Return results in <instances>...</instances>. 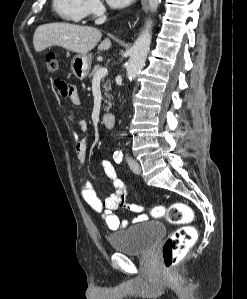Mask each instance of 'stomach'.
<instances>
[{
  "mask_svg": "<svg viewBox=\"0 0 247 299\" xmlns=\"http://www.w3.org/2000/svg\"><path fill=\"white\" fill-rule=\"evenodd\" d=\"M91 55L78 54L71 61V71L80 80L86 78L91 68Z\"/></svg>",
  "mask_w": 247,
  "mask_h": 299,
  "instance_id": "stomach-1",
  "label": "stomach"
}]
</instances>
